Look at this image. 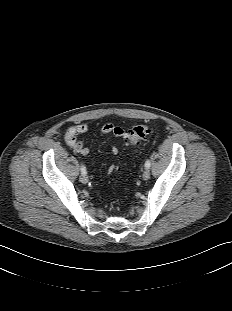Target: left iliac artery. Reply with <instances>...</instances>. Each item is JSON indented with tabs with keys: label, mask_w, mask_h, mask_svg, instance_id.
Returning <instances> with one entry per match:
<instances>
[{
	"label": "left iliac artery",
	"mask_w": 232,
	"mask_h": 311,
	"mask_svg": "<svg viewBox=\"0 0 232 311\" xmlns=\"http://www.w3.org/2000/svg\"><path fill=\"white\" fill-rule=\"evenodd\" d=\"M150 166H151V163H150L149 160H147V161L145 162V167H146L147 169H149Z\"/></svg>",
	"instance_id": "44dca946"
}]
</instances>
